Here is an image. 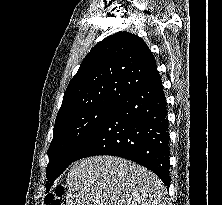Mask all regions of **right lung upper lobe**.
I'll use <instances>...</instances> for the list:
<instances>
[{
  "instance_id": "right-lung-upper-lobe-1",
  "label": "right lung upper lobe",
  "mask_w": 222,
  "mask_h": 205,
  "mask_svg": "<svg viewBox=\"0 0 222 205\" xmlns=\"http://www.w3.org/2000/svg\"><path fill=\"white\" fill-rule=\"evenodd\" d=\"M158 76L154 55L141 38L127 32L113 34L85 57L66 89L55 122L100 103L119 102Z\"/></svg>"
}]
</instances>
